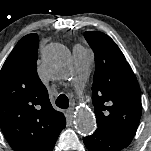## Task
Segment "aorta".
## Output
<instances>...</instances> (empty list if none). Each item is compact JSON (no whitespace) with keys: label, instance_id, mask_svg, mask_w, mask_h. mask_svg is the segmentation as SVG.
<instances>
[{"label":"aorta","instance_id":"aorta-1","mask_svg":"<svg viewBox=\"0 0 151 151\" xmlns=\"http://www.w3.org/2000/svg\"><path fill=\"white\" fill-rule=\"evenodd\" d=\"M68 59L67 49L60 44H52L45 52L46 64L55 71L62 70L68 62ZM75 122L77 130L84 135L92 133L96 127L95 117L86 108L78 109Z\"/></svg>","mask_w":151,"mask_h":151}]
</instances>
